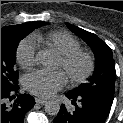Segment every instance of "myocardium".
Instances as JSON below:
<instances>
[{"instance_id": "f54148a6", "label": "myocardium", "mask_w": 123, "mask_h": 123, "mask_svg": "<svg viewBox=\"0 0 123 123\" xmlns=\"http://www.w3.org/2000/svg\"><path fill=\"white\" fill-rule=\"evenodd\" d=\"M64 70L72 83L79 84L85 82L95 70V58L89 51L76 49L59 56ZM84 62V68L80 72L72 71V65L77 61Z\"/></svg>"}]
</instances>
